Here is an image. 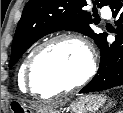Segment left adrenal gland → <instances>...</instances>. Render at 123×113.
<instances>
[{"label":"left adrenal gland","instance_id":"left-adrenal-gland-1","mask_svg":"<svg viewBox=\"0 0 123 113\" xmlns=\"http://www.w3.org/2000/svg\"><path fill=\"white\" fill-rule=\"evenodd\" d=\"M112 103H113V102H109L108 107H106V108L103 109V110H104L103 113H105L108 108L112 107V105H113V106L115 105V103H114V104H112Z\"/></svg>","mask_w":123,"mask_h":113}]
</instances>
